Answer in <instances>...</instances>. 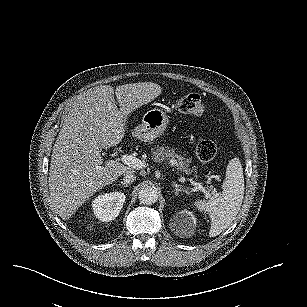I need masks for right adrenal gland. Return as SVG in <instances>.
Here are the masks:
<instances>
[{"mask_svg": "<svg viewBox=\"0 0 307 307\" xmlns=\"http://www.w3.org/2000/svg\"><path fill=\"white\" fill-rule=\"evenodd\" d=\"M121 184H122L123 187H128V186H129L128 184H126V183L123 182V181H121Z\"/></svg>", "mask_w": 307, "mask_h": 307, "instance_id": "1", "label": "right adrenal gland"}]
</instances>
